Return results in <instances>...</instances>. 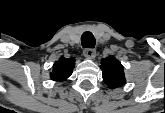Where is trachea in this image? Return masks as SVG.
I'll use <instances>...</instances> for the list:
<instances>
[{"instance_id": "1", "label": "trachea", "mask_w": 165, "mask_h": 113, "mask_svg": "<svg viewBox=\"0 0 165 113\" xmlns=\"http://www.w3.org/2000/svg\"><path fill=\"white\" fill-rule=\"evenodd\" d=\"M81 44L84 48H94L95 37L91 32H84L81 36Z\"/></svg>"}]
</instances>
